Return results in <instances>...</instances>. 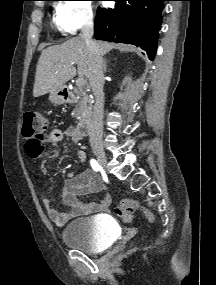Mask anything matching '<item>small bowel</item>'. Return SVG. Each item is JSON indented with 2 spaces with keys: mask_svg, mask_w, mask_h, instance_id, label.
I'll use <instances>...</instances> for the list:
<instances>
[{
  "mask_svg": "<svg viewBox=\"0 0 216 285\" xmlns=\"http://www.w3.org/2000/svg\"><path fill=\"white\" fill-rule=\"evenodd\" d=\"M84 135L78 128L68 127L65 130L55 128L50 131L47 141L49 144H56L63 139H69L75 144H79ZM86 160V152L78 149L76 152V162L82 163ZM42 172H47L46 164L41 165ZM103 186L100 180L90 170H86L79 175L68 178L64 181L61 192L54 198L42 197V203L47 211L48 217L57 226H63L71 219L80 215H89L108 209L111 203L109 195H105L99 203L84 204L81 196L87 192H100ZM59 202L67 207L66 211H60L56 203Z\"/></svg>",
  "mask_w": 216,
  "mask_h": 285,
  "instance_id": "c3829d8e",
  "label": "small bowel"
}]
</instances>
